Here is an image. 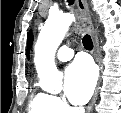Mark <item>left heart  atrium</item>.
Wrapping results in <instances>:
<instances>
[{
  "label": "left heart atrium",
  "mask_w": 121,
  "mask_h": 113,
  "mask_svg": "<svg viewBox=\"0 0 121 113\" xmlns=\"http://www.w3.org/2000/svg\"><path fill=\"white\" fill-rule=\"evenodd\" d=\"M96 80L93 65L86 59L73 62L65 72V95L74 104H84L90 98Z\"/></svg>",
  "instance_id": "1"
}]
</instances>
